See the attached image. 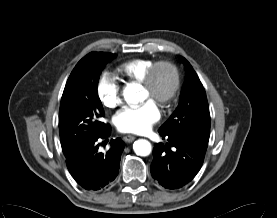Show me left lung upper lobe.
Wrapping results in <instances>:
<instances>
[{
    "label": "left lung upper lobe",
    "mask_w": 277,
    "mask_h": 218,
    "mask_svg": "<svg viewBox=\"0 0 277 218\" xmlns=\"http://www.w3.org/2000/svg\"><path fill=\"white\" fill-rule=\"evenodd\" d=\"M189 72L183 88L181 100L170 118L160 127L159 132L183 131L210 133V113L206 93L190 63L182 57Z\"/></svg>",
    "instance_id": "obj_1"
}]
</instances>
